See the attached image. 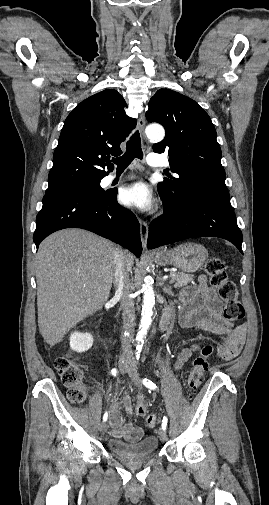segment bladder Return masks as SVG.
<instances>
[{
	"label": "bladder",
	"mask_w": 269,
	"mask_h": 505,
	"mask_svg": "<svg viewBox=\"0 0 269 505\" xmlns=\"http://www.w3.org/2000/svg\"><path fill=\"white\" fill-rule=\"evenodd\" d=\"M158 444L157 437L148 435L134 442L111 438L108 441V448L120 458L133 460L153 456L157 451Z\"/></svg>",
	"instance_id": "31cf9c89"
}]
</instances>
